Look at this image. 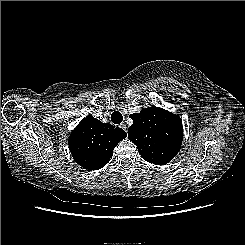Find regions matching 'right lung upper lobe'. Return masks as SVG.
I'll list each match as a JSON object with an SVG mask.
<instances>
[{
	"label": "right lung upper lobe",
	"instance_id": "1",
	"mask_svg": "<svg viewBox=\"0 0 245 245\" xmlns=\"http://www.w3.org/2000/svg\"><path fill=\"white\" fill-rule=\"evenodd\" d=\"M127 136L121 128L89 115L72 131L69 149L74 160L87 170H97L112 158L116 145Z\"/></svg>",
	"mask_w": 245,
	"mask_h": 245
}]
</instances>
